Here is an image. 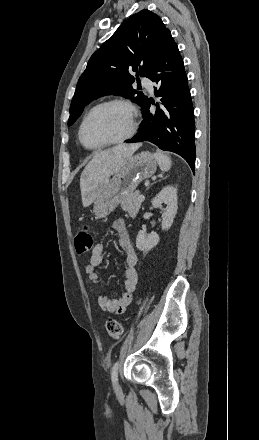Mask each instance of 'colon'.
Masks as SVG:
<instances>
[{"instance_id":"obj_1","label":"colon","mask_w":259,"mask_h":440,"mask_svg":"<svg viewBox=\"0 0 259 440\" xmlns=\"http://www.w3.org/2000/svg\"><path fill=\"white\" fill-rule=\"evenodd\" d=\"M76 252L79 254L90 251L93 247V237L87 225L80 227L74 240ZM106 330L109 337L114 341H119L123 337V324L115 319H110L106 323Z\"/></svg>"}]
</instances>
